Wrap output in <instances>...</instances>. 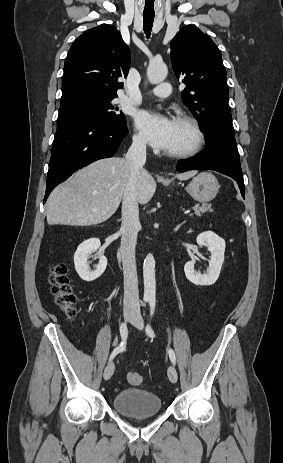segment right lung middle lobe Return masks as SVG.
Masks as SVG:
<instances>
[{"label": "right lung middle lobe", "mask_w": 283, "mask_h": 463, "mask_svg": "<svg viewBox=\"0 0 283 463\" xmlns=\"http://www.w3.org/2000/svg\"><path fill=\"white\" fill-rule=\"evenodd\" d=\"M117 96H94L87 97L59 109L57 128L79 120H99L111 123H124L123 113H117L111 101Z\"/></svg>", "instance_id": "right-lung-middle-lobe-1"}]
</instances>
